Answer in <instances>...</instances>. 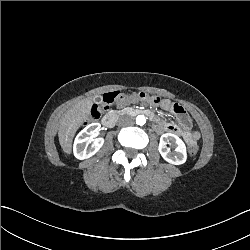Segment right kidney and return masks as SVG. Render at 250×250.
I'll return each instance as SVG.
<instances>
[{"label":"right kidney","instance_id":"ca27d5eb","mask_svg":"<svg viewBox=\"0 0 250 250\" xmlns=\"http://www.w3.org/2000/svg\"><path fill=\"white\" fill-rule=\"evenodd\" d=\"M100 127V123H91L76 136L73 145V153L77 159L84 160L90 158L103 146V138L93 139V136L97 135L100 131ZM89 143H92L90 147H88Z\"/></svg>","mask_w":250,"mask_h":250}]
</instances>
